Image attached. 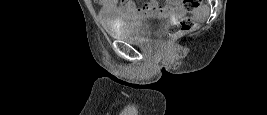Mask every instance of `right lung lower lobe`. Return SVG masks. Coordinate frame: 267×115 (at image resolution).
Masks as SVG:
<instances>
[{"mask_svg": "<svg viewBox=\"0 0 267 115\" xmlns=\"http://www.w3.org/2000/svg\"><path fill=\"white\" fill-rule=\"evenodd\" d=\"M148 89H159V87H147Z\"/></svg>", "mask_w": 267, "mask_h": 115, "instance_id": "obj_1", "label": "right lung lower lobe"}]
</instances>
